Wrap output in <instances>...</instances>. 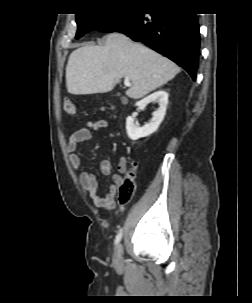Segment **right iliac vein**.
I'll use <instances>...</instances> for the list:
<instances>
[{
  "instance_id": "63e3f726",
  "label": "right iliac vein",
  "mask_w": 252,
  "mask_h": 303,
  "mask_svg": "<svg viewBox=\"0 0 252 303\" xmlns=\"http://www.w3.org/2000/svg\"><path fill=\"white\" fill-rule=\"evenodd\" d=\"M113 261L116 265H121L123 261V247L121 243L117 244L114 250Z\"/></svg>"
}]
</instances>
